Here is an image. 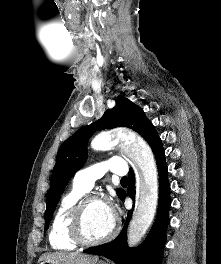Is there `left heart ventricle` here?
<instances>
[{
	"label": "left heart ventricle",
	"mask_w": 221,
	"mask_h": 264,
	"mask_svg": "<svg viewBox=\"0 0 221 264\" xmlns=\"http://www.w3.org/2000/svg\"><path fill=\"white\" fill-rule=\"evenodd\" d=\"M113 218L105 203L100 201L88 203L83 219L86 237L95 240L107 235L112 228Z\"/></svg>",
	"instance_id": "b2bd125f"
}]
</instances>
